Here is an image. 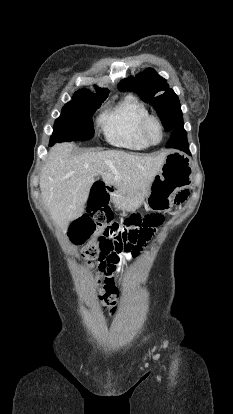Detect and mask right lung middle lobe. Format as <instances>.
<instances>
[{
    "instance_id": "right-lung-middle-lobe-1",
    "label": "right lung middle lobe",
    "mask_w": 233,
    "mask_h": 414,
    "mask_svg": "<svg viewBox=\"0 0 233 414\" xmlns=\"http://www.w3.org/2000/svg\"><path fill=\"white\" fill-rule=\"evenodd\" d=\"M103 101L75 93L72 101L67 103L60 117L55 121L51 139L54 142L83 141L94 135L92 115Z\"/></svg>"
}]
</instances>
